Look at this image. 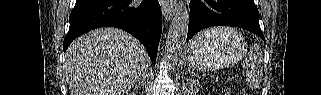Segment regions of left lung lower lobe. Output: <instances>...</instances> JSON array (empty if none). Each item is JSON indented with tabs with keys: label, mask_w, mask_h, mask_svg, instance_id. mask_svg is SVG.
Wrapping results in <instances>:
<instances>
[{
	"label": "left lung lower lobe",
	"mask_w": 321,
	"mask_h": 95,
	"mask_svg": "<svg viewBox=\"0 0 321 95\" xmlns=\"http://www.w3.org/2000/svg\"><path fill=\"white\" fill-rule=\"evenodd\" d=\"M187 41L211 26H232L248 30L265 41L254 0H191Z\"/></svg>",
	"instance_id": "0a47b994"
}]
</instances>
